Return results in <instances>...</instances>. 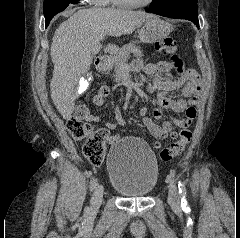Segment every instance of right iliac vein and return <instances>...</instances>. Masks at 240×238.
<instances>
[{
    "instance_id": "1",
    "label": "right iliac vein",
    "mask_w": 240,
    "mask_h": 238,
    "mask_svg": "<svg viewBox=\"0 0 240 238\" xmlns=\"http://www.w3.org/2000/svg\"><path fill=\"white\" fill-rule=\"evenodd\" d=\"M103 200V186L97 185L91 199L90 213L95 214Z\"/></svg>"
}]
</instances>
